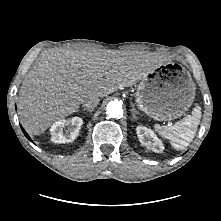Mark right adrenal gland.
I'll use <instances>...</instances> for the list:
<instances>
[{
    "label": "right adrenal gland",
    "instance_id": "2a0ac1e0",
    "mask_svg": "<svg viewBox=\"0 0 221 221\" xmlns=\"http://www.w3.org/2000/svg\"><path fill=\"white\" fill-rule=\"evenodd\" d=\"M81 111H86V112H92V110L91 109H82Z\"/></svg>",
    "mask_w": 221,
    "mask_h": 221
}]
</instances>
